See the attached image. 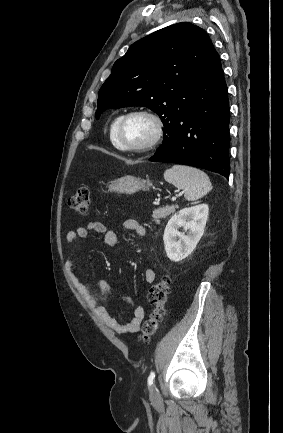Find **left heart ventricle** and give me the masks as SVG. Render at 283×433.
<instances>
[{"instance_id":"b2bd125f","label":"left heart ventricle","mask_w":283,"mask_h":433,"mask_svg":"<svg viewBox=\"0 0 283 433\" xmlns=\"http://www.w3.org/2000/svg\"><path fill=\"white\" fill-rule=\"evenodd\" d=\"M155 123L147 116L135 115L125 122L121 138L124 144L136 146L147 143L155 134Z\"/></svg>"}]
</instances>
